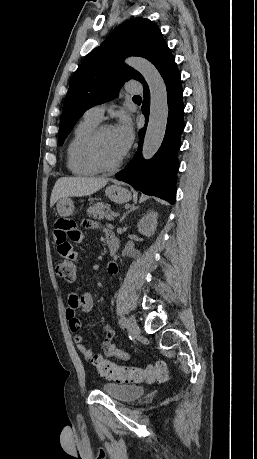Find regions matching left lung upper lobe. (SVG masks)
<instances>
[{
  "label": "left lung upper lobe",
  "instance_id": "1",
  "mask_svg": "<svg viewBox=\"0 0 257 459\" xmlns=\"http://www.w3.org/2000/svg\"><path fill=\"white\" fill-rule=\"evenodd\" d=\"M170 53L160 29L149 19L133 18L118 26L74 73L64 100L59 144H63L87 109L112 100L125 81L135 79L145 83L139 72L123 63L124 58L141 56L158 68Z\"/></svg>",
  "mask_w": 257,
  "mask_h": 459
}]
</instances>
